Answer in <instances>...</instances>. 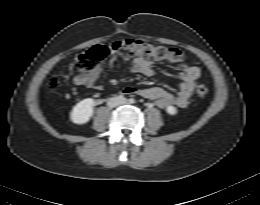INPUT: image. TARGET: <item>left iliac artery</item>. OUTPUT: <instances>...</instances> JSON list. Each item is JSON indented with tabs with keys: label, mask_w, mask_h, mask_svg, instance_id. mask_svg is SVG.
I'll use <instances>...</instances> for the list:
<instances>
[{
	"label": "left iliac artery",
	"mask_w": 260,
	"mask_h": 205,
	"mask_svg": "<svg viewBox=\"0 0 260 205\" xmlns=\"http://www.w3.org/2000/svg\"><path fill=\"white\" fill-rule=\"evenodd\" d=\"M129 102L130 103H135V99L131 98V99H129Z\"/></svg>",
	"instance_id": "1"
}]
</instances>
